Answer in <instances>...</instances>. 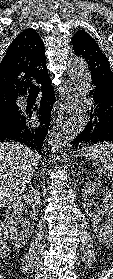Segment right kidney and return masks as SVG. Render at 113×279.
Masks as SVG:
<instances>
[{
  "mask_svg": "<svg viewBox=\"0 0 113 279\" xmlns=\"http://www.w3.org/2000/svg\"><path fill=\"white\" fill-rule=\"evenodd\" d=\"M31 206L30 219L21 222V215L24 204ZM40 205V192L37 189H31L29 192L19 196L16 201L8 206L5 215L4 230L10 234V241L13 245L23 247L30 238L32 229V220L37 216V210ZM21 224L20 227H18ZM21 228V230H19Z\"/></svg>",
  "mask_w": 113,
  "mask_h": 279,
  "instance_id": "ca27d5eb",
  "label": "right kidney"
}]
</instances>
